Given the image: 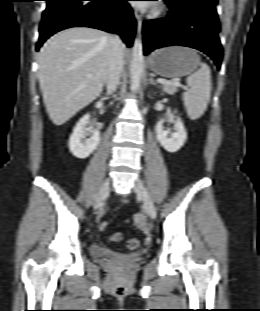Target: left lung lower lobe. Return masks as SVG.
<instances>
[{"mask_svg":"<svg viewBox=\"0 0 260 311\" xmlns=\"http://www.w3.org/2000/svg\"><path fill=\"white\" fill-rule=\"evenodd\" d=\"M166 3L170 8L167 17L143 24L144 54L160 47L182 45L204 52L220 69L222 47L217 13L191 1Z\"/></svg>","mask_w":260,"mask_h":311,"instance_id":"obj_1","label":"left lung lower lobe"}]
</instances>
